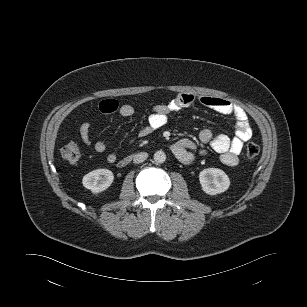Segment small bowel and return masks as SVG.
Listing matches in <instances>:
<instances>
[{"label": "small bowel", "instance_id": "obj_1", "mask_svg": "<svg viewBox=\"0 0 307 307\" xmlns=\"http://www.w3.org/2000/svg\"><path fill=\"white\" fill-rule=\"evenodd\" d=\"M110 101L115 102L113 108ZM200 103L220 114L231 115L235 118L236 128L234 137L226 134L213 135L210 129H203L199 133V141L202 145H209L215 152L221 155V161L227 166H236L239 162V154L243 145L252 137V128L248 121L245 111L233 102L213 96H197L193 94H179L167 104H157L153 106L152 112L148 117V122L140 132V137H145L155 130L163 127L171 113L178 112L181 109ZM102 113L110 114L118 112L123 117H131L135 109L130 104H118L116 100H103L99 104ZM91 126L88 122H83L79 126V135L82 142L86 145H93L98 153L106 151V145L103 141L93 142L90 136ZM175 157L183 164H191L194 161L196 153L203 154L205 150L195 141L189 138H183L174 142L170 147ZM105 160L108 163H114L117 156L110 152L105 154Z\"/></svg>", "mask_w": 307, "mask_h": 307}]
</instances>
